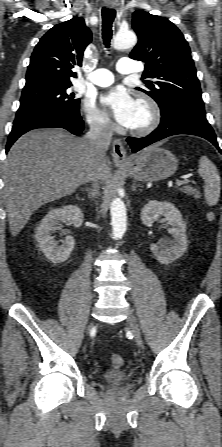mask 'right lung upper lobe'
Wrapping results in <instances>:
<instances>
[{
	"instance_id": "cb5924a9",
	"label": "right lung upper lobe",
	"mask_w": 222,
	"mask_h": 447,
	"mask_svg": "<svg viewBox=\"0 0 222 447\" xmlns=\"http://www.w3.org/2000/svg\"><path fill=\"white\" fill-rule=\"evenodd\" d=\"M91 36L81 17H74L51 28L31 55L24 89L71 84V78L76 77L71 69L81 66Z\"/></svg>"
}]
</instances>
